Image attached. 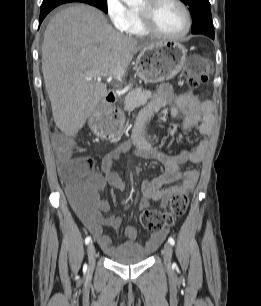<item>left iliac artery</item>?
Here are the masks:
<instances>
[{
    "label": "left iliac artery",
    "instance_id": "44dca946",
    "mask_svg": "<svg viewBox=\"0 0 261 306\" xmlns=\"http://www.w3.org/2000/svg\"><path fill=\"white\" fill-rule=\"evenodd\" d=\"M168 242H169L172 246L175 245V241H174V239H173L172 237H169V238H168Z\"/></svg>",
    "mask_w": 261,
    "mask_h": 306
}]
</instances>
